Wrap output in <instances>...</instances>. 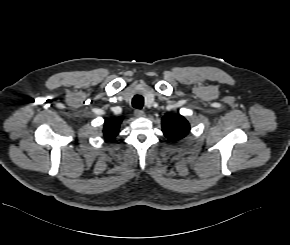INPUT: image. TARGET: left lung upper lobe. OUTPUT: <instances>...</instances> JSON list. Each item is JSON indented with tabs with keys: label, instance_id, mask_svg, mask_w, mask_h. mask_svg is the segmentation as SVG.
<instances>
[{
	"label": "left lung upper lobe",
	"instance_id": "5c2ea615",
	"mask_svg": "<svg viewBox=\"0 0 290 245\" xmlns=\"http://www.w3.org/2000/svg\"><path fill=\"white\" fill-rule=\"evenodd\" d=\"M162 129L170 141H177L189 133L190 125L183 116L168 114L162 118Z\"/></svg>",
	"mask_w": 290,
	"mask_h": 245
}]
</instances>
